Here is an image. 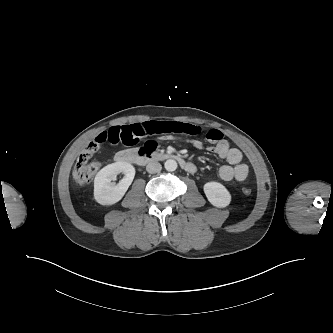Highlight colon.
I'll return each instance as SVG.
<instances>
[{
	"label": "colon",
	"instance_id": "colon-1",
	"mask_svg": "<svg viewBox=\"0 0 333 333\" xmlns=\"http://www.w3.org/2000/svg\"><path fill=\"white\" fill-rule=\"evenodd\" d=\"M101 144L102 142L99 140L91 142L78 156L73 169V178L77 184L87 185L97 174L100 169V163L91 161V159L99 151ZM243 193L250 195L251 189L244 187Z\"/></svg>",
	"mask_w": 333,
	"mask_h": 333
}]
</instances>
